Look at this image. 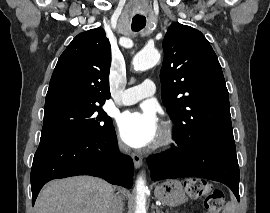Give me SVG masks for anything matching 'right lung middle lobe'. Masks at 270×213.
I'll use <instances>...</instances> for the list:
<instances>
[{"label": "right lung middle lobe", "instance_id": "obj_1", "mask_svg": "<svg viewBox=\"0 0 270 213\" xmlns=\"http://www.w3.org/2000/svg\"><path fill=\"white\" fill-rule=\"evenodd\" d=\"M103 104L61 102L45 107L41 137H100L113 129Z\"/></svg>", "mask_w": 270, "mask_h": 213}]
</instances>
